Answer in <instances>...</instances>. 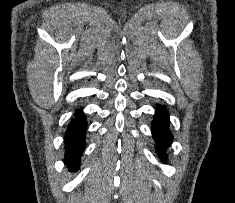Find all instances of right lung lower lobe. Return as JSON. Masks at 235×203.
Returning a JSON list of instances; mask_svg holds the SVG:
<instances>
[{
	"label": "right lung lower lobe",
	"instance_id": "98d812e1",
	"mask_svg": "<svg viewBox=\"0 0 235 203\" xmlns=\"http://www.w3.org/2000/svg\"><path fill=\"white\" fill-rule=\"evenodd\" d=\"M87 122L82 111H77L76 116L67 127L65 136V163L77 170L80 157L85 147V132Z\"/></svg>",
	"mask_w": 235,
	"mask_h": 203
}]
</instances>
